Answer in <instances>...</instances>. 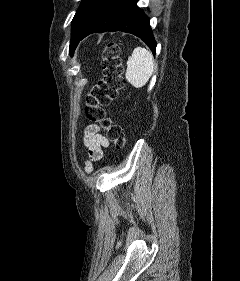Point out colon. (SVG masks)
Returning a JSON list of instances; mask_svg holds the SVG:
<instances>
[{"instance_id": "obj_1", "label": "colon", "mask_w": 240, "mask_h": 281, "mask_svg": "<svg viewBox=\"0 0 240 281\" xmlns=\"http://www.w3.org/2000/svg\"><path fill=\"white\" fill-rule=\"evenodd\" d=\"M124 85L119 46L109 42L103 53L101 77L86 95L85 113L90 122L102 126L117 149L125 146V134L122 127L107 116L105 107L117 98Z\"/></svg>"}]
</instances>
